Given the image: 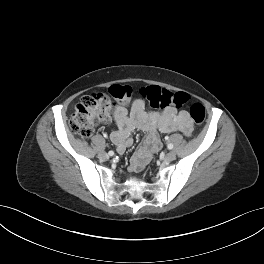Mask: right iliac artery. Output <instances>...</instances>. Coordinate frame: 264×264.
I'll return each instance as SVG.
<instances>
[{
    "instance_id": "82829eb1",
    "label": "right iliac artery",
    "mask_w": 264,
    "mask_h": 264,
    "mask_svg": "<svg viewBox=\"0 0 264 264\" xmlns=\"http://www.w3.org/2000/svg\"><path fill=\"white\" fill-rule=\"evenodd\" d=\"M108 154H109L110 156H113V155H114V151H109Z\"/></svg>"
}]
</instances>
